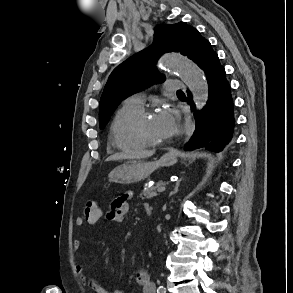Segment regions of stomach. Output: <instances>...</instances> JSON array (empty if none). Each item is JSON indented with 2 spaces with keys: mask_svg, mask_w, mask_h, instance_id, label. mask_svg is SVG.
<instances>
[{
  "mask_svg": "<svg viewBox=\"0 0 293 293\" xmlns=\"http://www.w3.org/2000/svg\"><path fill=\"white\" fill-rule=\"evenodd\" d=\"M177 163V157L173 153H167L159 160L144 162L132 160L116 167L109 174V181L121 184L137 183L148 178L157 168L161 166H172Z\"/></svg>",
  "mask_w": 293,
  "mask_h": 293,
  "instance_id": "obj_1",
  "label": "stomach"
}]
</instances>
